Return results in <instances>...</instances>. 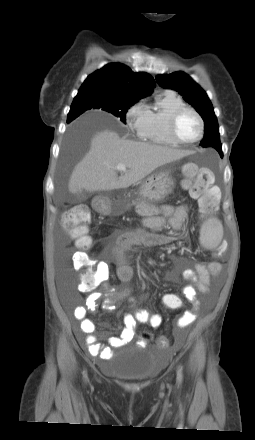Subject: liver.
Returning <instances> with one entry per match:
<instances>
[{"mask_svg":"<svg viewBox=\"0 0 255 440\" xmlns=\"http://www.w3.org/2000/svg\"><path fill=\"white\" fill-rule=\"evenodd\" d=\"M191 152L169 147L120 139L116 132L104 130L96 133L90 149L76 165L69 180L71 193L111 191L127 188L167 163ZM124 164L120 177L116 166Z\"/></svg>","mask_w":255,"mask_h":440,"instance_id":"liver-1","label":"liver"}]
</instances>
